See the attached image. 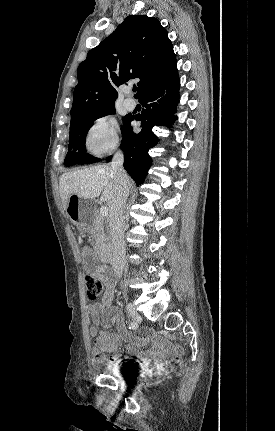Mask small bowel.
Listing matches in <instances>:
<instances>
[{
  "label": "small bowel",
  "mask_w": 275,
  "mask_h": 431,
  "mask_svg": "<svg viewBox=\"0 0 275 431\" xmlns=\"http://www.w3.org/2000/svg\"><path fill=\"white\" fill-rule=\"evenodd\" d=\"M83 260L86 267L105 286L101 301L87 307L91 315L89 331L91 337L95 339V346L92 350L93 363L102 364L119 361L120 354L117 350L122 341L126 343L127 353L136 356L145 367L153 363L157 370L162 371L178 361L180 349L175 344L149 331L141 336H134L127 330L121 311L112 305L115 296L113 273L106 266L98 264L95 255L89 248L84 249ZM101 326L104 328L114 326L117 333L102 330ZM149 345L151 346L150 349L140 350L141 347Z\"/></svg>",
  "instance_id": "obj_1"
}]
</instances>
